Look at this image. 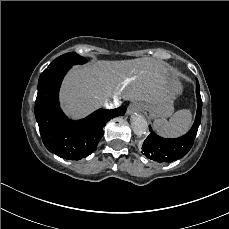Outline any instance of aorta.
<instances>
[{
  "mask_svg": "<svg viewBox=\"0 0 229 229\" xmlns=\"http://www.w3.org/2000/svg\"><path fill=\"white\" fill-rule=\"evenodd\" d=\"M131 126L133 132L138 137H142L148 133V123L146 119L140 114H133L131 116Z\"/></svg>",
  "mask_w": 229,
  "mask_h": 229,
  "instance_id": "obj_1",
  "label": "aorta"
}]
</instances>
